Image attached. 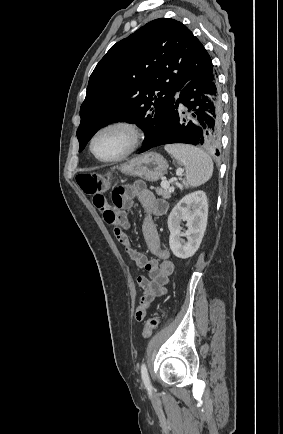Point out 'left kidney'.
<instances>
[{
	"label": "left kidney",
	"instance_id": "obj_1",
	"mask_svg": "<svg viewBox=\"0 0 283 434\" xmlns=\"http://www.w3.org/2000/svg\"><path fill=\"white\" fill-rule=\"evenodd\" d=\"M208 218V202L205 192L199 190L184 196L168 217L169 245L172 253L181 259L192 257L200 247ZM187 221V231L181 233V224ZM186 237V241L181 239Z\"/></svg>",
	"mask_w": 283,
	"mask_h": 434
}]
</instances>
